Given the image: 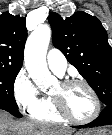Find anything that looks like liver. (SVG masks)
Segmentation results:
<instances>
[{
    "mask_svg": "<svg viewBox=\"0 0 112 135\" xmlns=\"http://www.w3.org/2000/svg\"><path fill=\"white\" fill-rule=\"evenodd\" d=\"M103 130L94 131L102 134ZM72 130L50 126L35 121H16L13 117L0 110V135H71Z\"/></svg>",
    "mask_w": 112,
    "mask_h": 135,
    "instance_id": "1",
    "label": "liver"
}]
</instances>
